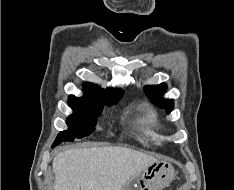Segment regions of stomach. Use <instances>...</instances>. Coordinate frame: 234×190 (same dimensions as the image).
I'll use <instances>...</instances> for the list:
<instances>
[{"label": "stomach", "mask_w": 234, "mask_h": 190, "mask_svg": "<svg viewBox=\"0 0 234 190\" xmlns=\"http://www.w3.org/2000/svg\"><path fill=\"white\" fill-rule=\"evenodd\" d=\"M174 178V167L167 161L156 160L131 177L121 190H162Z\"/></svg>", "instance_id": "1"}]
</instances>
